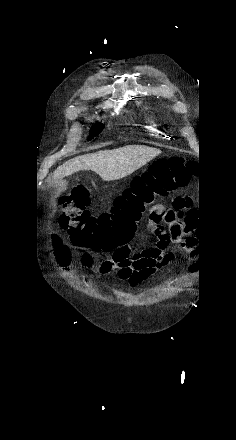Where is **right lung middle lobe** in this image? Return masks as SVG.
I'll return each mask as SVG.
<instances>
[{
    "label": "right lung middle lobe",
    "mask_w": 236,
    "mask_h": 440,
    "mask_svg": "<svg viewBox=\"0 0 236 440\" xmlns=\"http://www.w3.org/2000/svg\"><path fill=\"white\" fill-rule=\"evenodd\" d=\"M102 128H103V125H101V124L96 125L95 128L91 132V136L89 137V140H91L93 138V136L98 134Z\"/></svg>",
    "instance_id": "dd1d6c3e"
}]
</instances>
